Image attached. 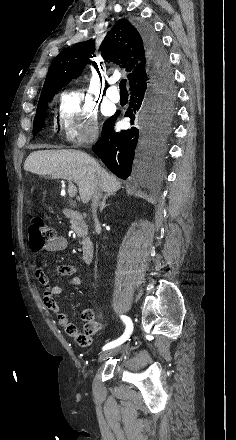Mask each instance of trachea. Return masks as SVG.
<instances>
[{
	"label": "trachea",
	"mask_w": 236,
	"mask_h": 440,
	"mask_svg": "<svg viewBox=\"0 0 236 440\" xmlns=\"http://www.w3.org/2000/svg\"><path fill=\"white\" fill-rule=\"evenodd\" d=\"M119 88H120V91H127V88H126V79H122V80L120 81V83H119Z\"/></svg>",
	"instance_id": "3493384b"
}]
</instances>
